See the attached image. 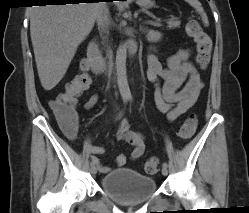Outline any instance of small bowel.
<instances>
[{
	"label": "small bowel",
	"instance_id": "small-bowel-1",
	"mask_svg": "<svg viewBox=\"0 0 249 213\" xmlns=\"http://www.w3.org/2000/svg\"><path fill=\"white\" fill-rule=\"evenodd\" d=\"M149 40L156 44L160 40L157 32L149 33ZM147 77L155 86V103L158 110L167 115L170 122H174L179 116L186 113L196 102L200 90L203 87V81L195 66L190 61V50L181 49L172 55L166 66L157 58L154 48L148 55ZM98 101V95H92L85 103L86 109H92ZM61 126L68 137L73 138L77 132L76 122L71 126ZM116 137L119 140L128 142L133 146L131 159L137 160L145 152V138L138 132L131 130L129 120L120 121ZM89 150L92 159L97 161L98 168L102 173H107L109 168L99 162L98 155L104 153V148L98 145H90ZM127 161L124 154L116 157V164L123 166Z\"/></svg>",
	"mask_w": 249,
	"mask_h": 213
}]
</instances>
